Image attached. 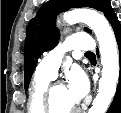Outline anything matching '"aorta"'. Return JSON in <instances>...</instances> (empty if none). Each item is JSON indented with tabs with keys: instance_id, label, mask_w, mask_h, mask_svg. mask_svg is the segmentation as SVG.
Masks as SVG:
<instances>
[{
	"instance_id": "aorta-1",
	"label": "aorta",
	"mask_w": 121,
	"mask_h": 113,
	"mask_svg": "<svg viewBox=\"0 0 121 113\" xmlns=\"http://www.w3.org/2000/svg\"><path fill=\"white\" fill-rule=\"evenodd\" d=\"M63 19L68 24L84 22L97 37L103 69L98 93L88 113H105L115 95L119 77V55L112 28L103 15L90 9L69 11Z\"/></svg>"
}]
</instances>
